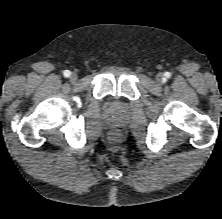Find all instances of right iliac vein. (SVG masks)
I'll return each instance as SVG.
<instances>
[{
  "instance_id": "1",
  "label": "right iliac vein",
  "mask_w": 222,
  "mask_h": 219,
  "mask_svg": "<svg viewBox=\"0 0 222 219\" xmlns=\"http://www.w3.org/2000/svg\"><path fill=\"white\" fill-rule=\"evenodd\" d=\"M71 82H76L78 79V76L76 73H71L70 77H69Z\"/></svg>"
}]
</instances>
